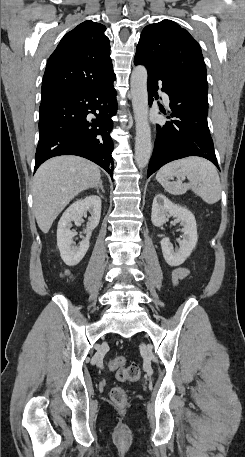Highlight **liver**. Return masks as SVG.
<instances>
[{
    "label": "liver",
    "mask_w": 245,
    "mask_h": 457,
    "mask_svg": "<svg viewBox=\"0 0 245 457\" xmlns=\"http://www.w3.org/2000/svg\"><path fill=\"white\" fill-rule=\"evenodd\" d=\"M100 168L81 156H54L43 162L33 182L34 214L42 233L81 190L98 186Z\"/></svg>",
    "instance_id": "liver-1"
}]
</instances>
